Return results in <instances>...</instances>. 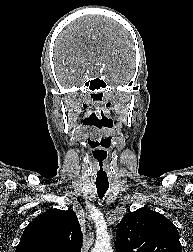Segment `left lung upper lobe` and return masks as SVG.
<instances>
[{"instance_id": "1", "label": "left lung upper lobe", "mask_w": 193, "mask_h": 252, "mask_svg": "<svg viewBox=\"0 0 193 252\" xmlns=\"http://www.w3.org/2000/svg\"><path fill=\"white\" fill-rule=\"evenodd\" d=\"M116 235L117 252H182L175 225L150 209L124 215Z\"/></svg>"}]
</instances>
